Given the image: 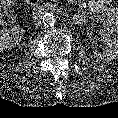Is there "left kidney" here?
<instances>
[{
    "instance_id": "1",
    "label": "left kidney",
    "mask_w": 118,
    "mask_h": 118,
    "mask_svg": "<svg viewBox=\"0 0 118 118\" xmlns=\"http://www.w3.org/2000/svg\"><path fill=\"white\" fill-rule=\"evenodd\" d=\"M99 35L107 42L108 47L102 51H95L94 57L101 61L114 60L118 56V39L107 30H100Z\"/></svg>"
}]
</instances>
